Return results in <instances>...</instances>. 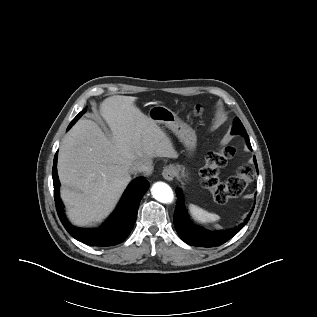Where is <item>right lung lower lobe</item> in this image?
Returning a JSON list of instances; mask_svg holds the SVG:
<instances>
[{"instance_id":"right-lung-lower-lobe-1","label":"right lung lower lobe","mask_w":317,"mask_h":317,"mask_svg":"<svg viewBox=\"0 0 317 317\" xmlns=\"http://www.w3.org/2000/svg\"><path fill=\"white\" fill-rule=\"evenodd\" d=\"M56 165L57 153L54 157L52 170L54 199L58 216L68 233L76 240L95 247L114 246L123 242L134 226L140 200L149 187L146 178L138 177L129 184L117 208L101 227L84 229L73 226L64 214V206L59 194L60 181Z\"/></svg>"}]
</instances>
